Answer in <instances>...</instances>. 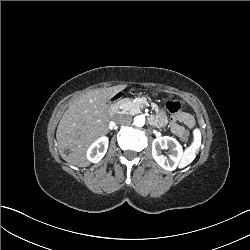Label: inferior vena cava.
<instances>
[{"instance_id":"602c4592","label":"inferior vena cava","mask_w":250,"mask_h":250,"mask_svg":"<svg viewBox=\"0 0 250 250\" xmlns=\"http://www.w3.org/2000/svg\"><path fill=\"white\" fill-rule=\"evenodd\" d=\"M117 121L121 124H130L132 122V116L128 114H120L117 117Z\"/></svg>"}]
</instances>
